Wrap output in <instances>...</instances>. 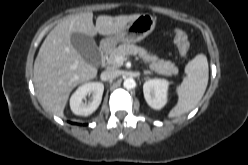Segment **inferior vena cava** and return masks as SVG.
<instances>
[{"mask_svg": "<svg viewBox=\"0 0 248 165\" xmlns=\"http://www.w3.org/2000/svg\"><path fill=\"white\" fill-rule=\"evenodd\" d=\"M120 74L119 70L107 69L101 73V79L104 81L112 80L118 77Z\"/></svg>", "mask_w": 248, "mask_h": 165, "instance_id": "602c4592", "label": "inferior vena cava"}]
</instances>
